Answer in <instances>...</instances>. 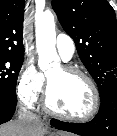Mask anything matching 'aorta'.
<instances>
[{"mask_svg": "<svg viewBox=\"0 0 117 136\" xmlns=\"http://www.w3.org/2000/svg\"><path fill=\"white\" fill-rule=\"evenodd\" d=\"M36 46L39 55L38 65L42 71H47L59 65L55 43L56 32L54 15L45 12L36 17Z\"/></svg>", "mask_w": 117, "mask_h": 136, "instance_id": "1", "label": "aorta"}]
</instances>
